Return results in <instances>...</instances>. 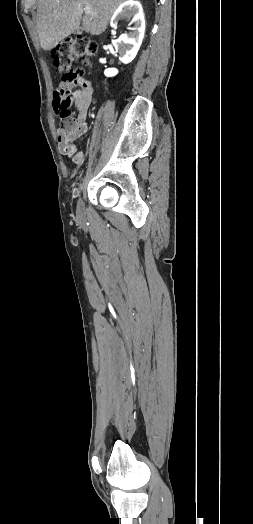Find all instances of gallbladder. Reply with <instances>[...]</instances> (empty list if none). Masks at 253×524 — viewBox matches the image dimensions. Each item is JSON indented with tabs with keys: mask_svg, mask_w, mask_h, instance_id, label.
Wrapping results in <instances>:
<instances>
[{
	"mask_svg": "<svg viewBox=\"0 0 253 524\" xmlns=\"http://www.w3.org/2000/svg\"><path fill=\"white\" fill-rule=\"evenodd\" d=\"M81 31H82V27H79V28L77 29V33H81Z\"/></svg>",
	"mask_w": 253,
	"mask_h": 524,
	"instance_id": "gallbladder-1",
	"label": "gallbladder"
}]
</instances>
